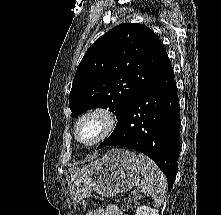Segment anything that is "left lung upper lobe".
Segmentation results:
<instances>
[{"mask_svg":"<svg viewBox=\"0 0 221 215\" xmlns=\"http://www.w3.org/2000/svg\"><path fill=\"white\" fill-rule=\"evenodd\" d=\"M168 62L163 44L148 27L124 23L109 30L90 46L77 68L69 97L71 116L109 108L119 119Z\"/></svg>","mask_w":221,"mask_h":215,"instance_id":"left-lung-upper-lobe-1","label":"left lung upper lobe"}]
</instances>
